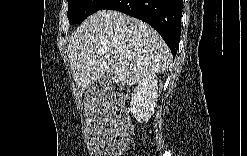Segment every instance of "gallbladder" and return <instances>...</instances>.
<instances>
[{"mask_svg": "<svg viewBox=\"0 0 247 156\" xmlns=\"http://www.w3.org/2000/svg\"><path fill=\"white\" fill-rule=\"evenodd\" d=\"M101 84L103 86H111L112 85V81H111L110 77L108 75H106V76H104L102 78Z\"/></svg>", "mask_w": 247, "mask_h": 156, "instance_id": "bac80fb5", "label": "gallbladder"}]
</instances>
